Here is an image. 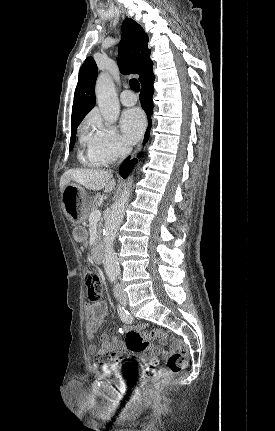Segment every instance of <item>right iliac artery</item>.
Wrapping results in <instances>:
<instances>
[{"label":"right iliac artery","mask_w":275,"mask_h":431,"mask_svg":"<svg viewBox=\"0 0 275 431\" xmlns=\"http://www.w3.org/2000/svg\"><path fill=\"white\" fill-rule=\"evenodd\" d=\"M118 313L123 322L127 324H131L133 322V317L130 315V313L120 305L118 307Z\"/></svg>","instance_id":"right-iliac-artery-1"}]
</instances>
